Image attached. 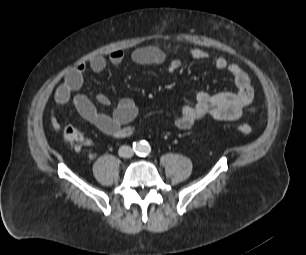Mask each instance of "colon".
<instances>
[{
    "label": "colon",
    "mask_w": 306,
    "mask_h": 255,
    "mask_svg": "<svg viewBox=\"0 0 306 255\" xmlns=\"http://www.w3.org/2000/svg\"><path fill=\"white\" fill-rule=\"evenodd\" d=\"M237 130L244 135L252 133V127L247 123H240L237 126ZM63 137L77 152H80L86 145V139L83 134L73 126H66L64 128Z\"/></svg>",
    "instance_id": "1"
}]
</instances>
